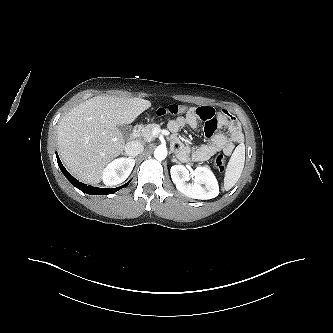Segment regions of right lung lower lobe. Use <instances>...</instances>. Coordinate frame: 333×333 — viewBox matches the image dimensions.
<instances>
[{
  "instance_id": "obj_1",
  "label": "right lung lower lobe",
  "mask_w": 333,
  "mask_h": 333,
  "mask_svg": "<svg viewBox=\"0 0 333 333\" xmlns=\"http://www.w3.org/2000/svg\"><path fill=\"white\" fill-rule=\"evenodd\" d=\"M56 157H57V162L58 165L62 171V173L64 174V176L72 183L73 186H75L76 188H78L79 190H81L83 193L86 194H90V195H107V194H113L116 191H118L119 189L127 186L129 183L118 187V188H113V189H106V188H98V187H93L91 185H86L82 182H79L77 179H75L73 176L70 175V173L65 169V167L63 166V164L61 163L58 154L56 153Z\"/></svg>"
}]
</instances>
